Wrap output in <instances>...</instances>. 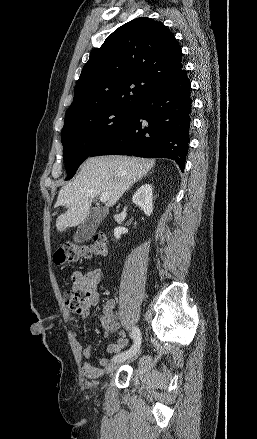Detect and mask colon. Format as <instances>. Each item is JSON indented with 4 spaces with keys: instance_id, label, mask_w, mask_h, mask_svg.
<instances>
[{
    "instance_id": "1",
    "label": "colon",
    "mask_w": 257,
    "mask_h": 439,
    "mask_svg": "<svg viewBox=\"0 0 257 439\" xmlns=\"http://www.w3.org/2000/svg\"><path fill=\"white\" fill-rule=\"evenodd\" d=\"M106 237L104 234H97L91 243L83 245L67 244L60 247L54 254L56 264L74 263L80 258H92L106 253ZM85 294L78 291H68L64 295L66 307L75 313H81L85 307ZM149 362V360L147 361Z\"/></svg>"
}]
</instances>
